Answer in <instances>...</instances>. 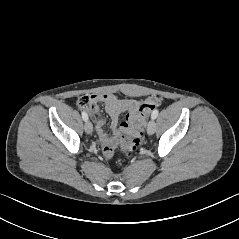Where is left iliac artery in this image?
<instances>
[{
    "label": "left iliac artery",
    "instance_id": "1",
    "mask_svg": "<svg viewBox=\"0 0 239 239\" xmlns=\"http://www.w3.org/2000/svg\"><path fill=\"white\" fill-rule=\"evenodd\" d=\"M158 113H159L158 109H155V110L152 112L151 118H152V119H156L157 116H158Z\"/></svg>",
    "mask_w": 239,
    "mask_h": 239
}]
</instances>
